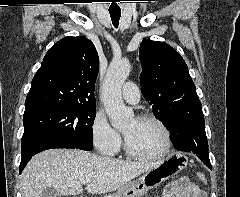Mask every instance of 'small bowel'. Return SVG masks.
I'll use <instances>...</instances> for the list:
<instances>
[{
	"label": "small bowel",
	"mask_w": 240,
	"mask_h": 197,
	"mask_svg": "<svg viewBox=\"0 0 240 197\" xmlns=\"http://www.w3.org/2000/svg\"><path fill=\"white\" fill-rule=\"evenodd\" d=\"M164 197H206V193L199 185L184 180L170 186Z\"/></svg>",
	"instance_id": "obj_1"
}]
</instances>
